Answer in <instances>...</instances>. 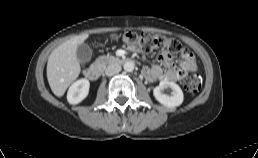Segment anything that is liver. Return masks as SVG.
I'll return each instance as SVG.
<instances>
[{
    "label": "liver",
    "instance_id": "6515ba94",
    "mask_svg": "<svg viewBox=\"0 0 258 158\" xmlns=\"http://www.w3.org/2000/svg\"><path fill=\"white\" fill-rule=\"evenodd\" d=\"M89 34H81L60 44L50 54L47 62V79L52 92L61 97L69 85L80 73V64L76 56L78 45L82 44Z\"/></svg>",
    "mask_w": 258,
    "mask_h": 158
}]
</instances>
